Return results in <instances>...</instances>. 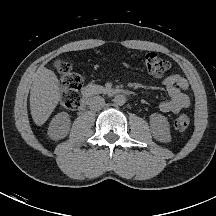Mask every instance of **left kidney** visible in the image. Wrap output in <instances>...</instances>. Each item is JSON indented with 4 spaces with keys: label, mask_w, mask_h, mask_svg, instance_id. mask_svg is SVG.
Masks as SVG:
<instances>
[{
    "label": "left kidney",
    "mask_w": 216,
    "mask_h": 216,
    "mask_svg": "<svg viewBox=\"0 0 216 216\" xmlns=\"http://www.w3.org/2000/svg\"><path fill=\"white\" fill-rule=\"evenodd\" d=\"M150 128L153 137L160 141L168 143L171 141L170 125L167 118L161 114L153 113L150 115Z\"/></svg>",
    "instance_id": "obj_1"
}]
</instances>
